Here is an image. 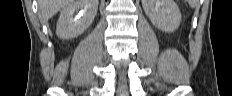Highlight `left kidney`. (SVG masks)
Returning <instances> with one entry per match:
<instances>
[{"instance_id":"obj_1","label":"left kidney","mask_w":232,"mask_h":96,"mask_svg":"<svg viewBox=\"0 0 232 96\" xmlns=\"http://www.w3.org/2000/svg\"><path fill=\"white\" fill-rule=\"evenodd\" d=\"M152 24L164 32H174L181 22V13L174 0H142Z\"/></svg>"}]
</instances>
